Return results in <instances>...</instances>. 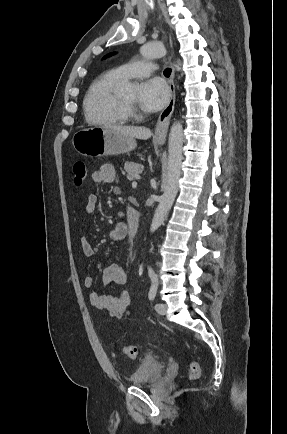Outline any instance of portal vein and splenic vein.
<instances>
[{"mask_svg": "<svg viewBox=\"0 0 287 434\" xmlns=\"http://www.w3.org/2000/svg\"><path fill=\"white\" fill-rule=\"evenodd\" d=\"M137 186V182L136 181H133L132 182V187H136Z\"/></svg>", "mask_w": 287, "mask_h": 434, "instance_id": "portal-vein-and-splenic-vein-1", "label": "portal vein and splenic vein"}]
</instances>
